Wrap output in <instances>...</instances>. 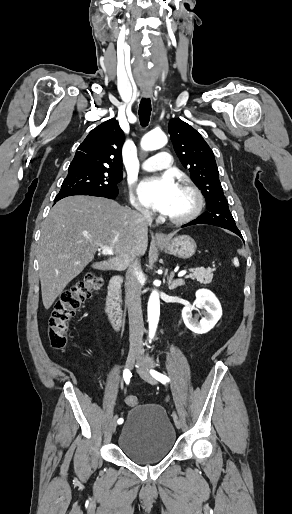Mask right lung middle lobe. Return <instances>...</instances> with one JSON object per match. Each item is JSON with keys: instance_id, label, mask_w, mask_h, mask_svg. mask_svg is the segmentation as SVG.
I'll return each mask as SVG.
<instances>
[{"instance_id": "obj_1", "label": "right lung middle lobe", "mask_w": 292, "mask_h": 514, "mask_svg": "<svg viewBox=\"0 0 292 514\" xmlns=\"http://www.w3.org/2000/svg\"><path fill=\"white\" fill-rule=\"evenodd\" d=\"M123 173L73 172L64 179L58 196L88 193L117 195Z\"/></svg>"}]
</instances>
